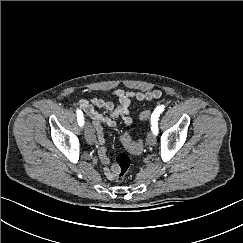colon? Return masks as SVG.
I'll return each mask as SVG.
<instances>
[{
    "mask_svg": "<svg viewBox=\"0 0 243 243\" xmlns=\"http://www.w3.org/2000/svg\"><path fill=\"white\" fill-rule=\"evenodd\" d=\"M150 116H151V111L145 110V111L141 112L139 117H140V120L146 121L150 118ZM122 141L124 143V146L131 153L138 154V153H141L143 150V143L141 141L134 142L127 134L123 135ZM130 164H131V161L127 154L121 153L116 157L115 163L113 165V169L115 172L114 179L117 182H121L124 180L128 170L130 168Z\"/></svg>",
    "mask_w": 243,
    "mask_h": 243,
    "instance_id": "1",
    "label": "colon"
}]
</instances>
